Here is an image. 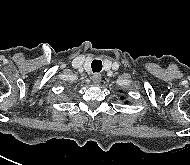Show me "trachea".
I'll return each instance as SVG.
<instances>
[{
    "mask_svg": "<svg viewBox=\"0 0 190 165\" xmlns=\"http://www.w3.org/2000/svg\"><path fill=\"white\" fill-rule=\"evenodd\" d=\"M91 68L93 72H100L102 69V61L101 60H93L91 64Z\"/></svg>",
    "mask_w": 190,
    "mask_h": 165,
    "instance_id": "trachea-1",
    "label": "trachea"
}]
</instances>
